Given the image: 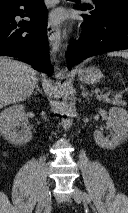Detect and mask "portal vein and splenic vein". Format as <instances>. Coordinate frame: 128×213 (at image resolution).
Instances as JSON below:
<instances>
[{"label":"portal vein and splenic vein","mask_w":128,"mask_h":213,"mask_svg":"<svg viewBox=\"0 0 128 213\" xmlns=\"http://www.w3.org/2000/svg\"><path fill=\"white\" fill-rule=\"evenodd\" d=\"M121 96H122V92H119V93L116 94L115 97H121Z\"/></svg>","instance_id":"1"}]
</instances>
